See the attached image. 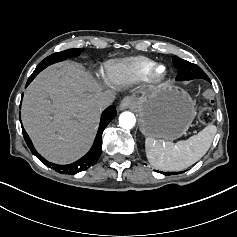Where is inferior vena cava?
Returning <instances> with one entry per match:
<instances>
[{"label":"inferior vena cava","instance_id":"1","mask_svg":"<svg viewBox=\"0 0 237 237\" xmlns=\"http://www.w3.org/2000/svg\"><path fill=\"white\" fill-rule=\"evenodd\" d=\"M115 95L112 92H101L97 102L101 108L110 106L114 101Z\"/></svg>","mask_w":237,"mask_h":237}]
</instances>
